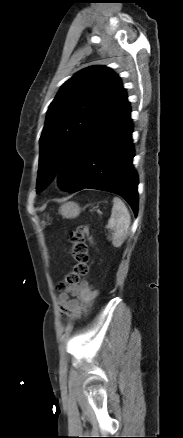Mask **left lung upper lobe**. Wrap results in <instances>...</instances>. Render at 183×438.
I'll list each match as a JSON object with an SVG mask.
<instances>
[{
    "label": "left lung upper lobe",
    "mask_w": 183,
    "mask_h": 438,
    "mask_svg": "<svg viewBox=\"0 0 183 438\" xmlns=\"http://www.w3.org/2000/svg\"><path fill=\"white\" fill-rule=\"evenodd\" d=\"M126 101L120 78L107 67L85 68L63 84L49 106L40 137L37 192L54 179L74 149Z\"/></svg>",
    "instance_id": "obj_1"
}]
</instances>
